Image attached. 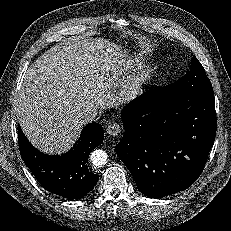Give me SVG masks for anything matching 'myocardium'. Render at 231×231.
Wrapping results in <instances>:
<instances>
[{
  "instance_id": "myocardium-1",
  "label": "myocardium",
  "mask_w": 231,
  "mask_h": 231,
  "mask_svg": "<svg viewBox=\"0 0 231 231\" xmlns=\"http://www.w3.org/2000/svg\"><path fill=\"white\" fill-rule=\"evenodd\" d=\"M141 78H142V76L140 75V76H138V77H137V79H136V80H137V81H140V80H141Z\"/></svg>"
}]
</instances>
